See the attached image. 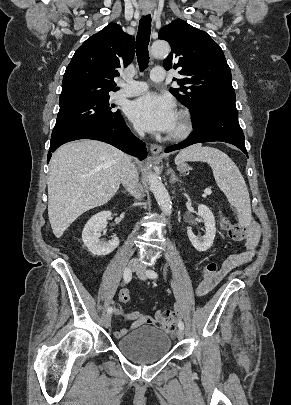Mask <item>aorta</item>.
<instances>
[{
	"label": "aorta",
	"mask_w": 291,
	"mask_h": 405,
	"mask_svg": "<svg viewBox=\"0 0 291 405\" xmlns=\"http://www.w3.org/2000/svg\"><path fill=\"white\" fill-rule=\"evenodd\" d=\"M170 52L169 44L164 40H157L152 44L151 53L155 58H163ZM148 184L161 210L170 215L172 212V202L167 189L155 173L148 175Z\"/></svg>",
	"instance_id": "1"
}]
</instances>
